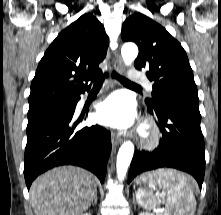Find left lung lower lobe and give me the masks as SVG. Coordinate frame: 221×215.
Wrapping results in <instances>:
<instances>
[{"label":"left lung lower lobe","instance_id":"obj_1","mask_svg":"<svg viewBox=\"0 0 221 215\" xmlns=\"http://www.w3.org/2000/svg\"><path fill=\"white\" fill-rule=\"evenodd\" d=\"M148 111L158 118L162 138L153 152L137 151L128 183L138 174L170 167L191 174L201 189L205 172V147L200 128L199 104L178 96L158 98Z\"/></svg>","mask_w":221,"mask_h":215}]
</instances>
